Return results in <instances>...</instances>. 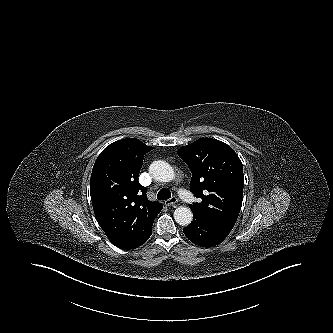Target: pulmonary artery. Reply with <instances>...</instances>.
Wrapping results in <instances>:
<instances>
[{
	"mask_svg": "<svg viewBox=\"0 0 333 333\" xmlns=\"http://www.w3.org/2000/svg\"><path fill=\"white\" fill-rule=\"evenodd\" d=\"M182 196L185 198L186 201L193 202V198L191 196H184L183 194Z\"/></svg>",
	"mask_w": 333,
	"mask_h": 333,
	"instance_id": "obj_1",
	"label": "pulmonary artery"
}]
</instances>
